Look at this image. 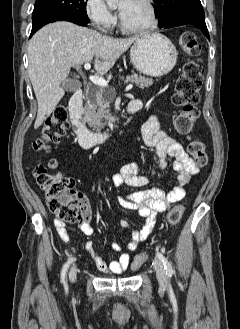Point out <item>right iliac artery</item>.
I'll list each match as a JSON object with an SVG mask.
<instances>
[{"mask_svg":"<svg viewBox=\"0 0 240 329\" xmlns=\"http://www.w3.org/2000/svg\"><path fill=\"white\" fill-rule=\"evenodd\" d=\"M75 260V258L69 259L63 266L61 271V282L66 286V272L69 268V265Z\"/></svg>","mask_w":240,"mask_h":329,"instance_id":"obj_1","label":"right iliac artery"}]
</instances>
